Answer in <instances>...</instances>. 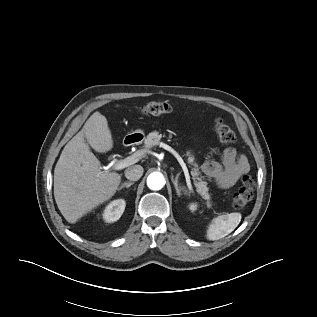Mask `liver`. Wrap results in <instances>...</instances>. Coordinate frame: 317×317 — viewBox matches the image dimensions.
<instances>
[{
    "instance_id": "1",
    "label": "liver",
    "mask_w": 317,
    "mask_h": 317,
    "mask_svg": "<svg viewBox=\"0 0 317 317\" xmlns=\"http://www.w3.org/2000/svg\"><path fill=\"white\" fill-rule=\"evenodd\" d=\"M89 145L100 153L113 147L108 121L99 111L94 112L82 130L65 145L54 170L55 201L71 224L110 199L121 183L120 174L102 171Z\"/></svg>"
}]
</instances>
